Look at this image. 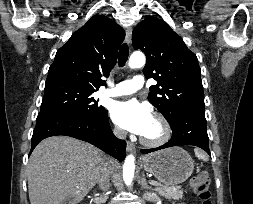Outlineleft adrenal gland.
<instances>
[{
    "mask_svg": "<svg viewBox=\"0 0 253 204\" xmlns=\"http://www.w3.org/2000/svg\"><path fill=\"white\" fill-rule=\"evenodd\" d=\"M139 183L143 188L151 189V187L147 184L144 172H142L141 179L139 180Z\"/></svg>",
    "mask_w": 253,
    "mask_h": 204,
    "instance_id": "obj_1",
    "label": "left adrenal gland"
}]
</instances>
